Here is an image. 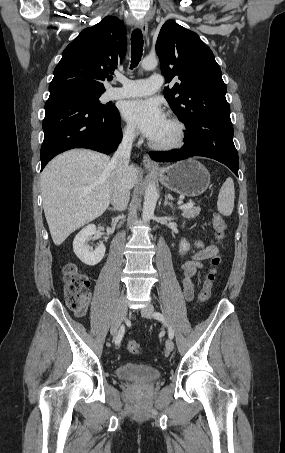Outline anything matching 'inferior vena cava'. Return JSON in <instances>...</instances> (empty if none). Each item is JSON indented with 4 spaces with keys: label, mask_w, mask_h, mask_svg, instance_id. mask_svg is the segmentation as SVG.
Masks as SVG:
<instances>
[{
    "label": "inferior vena cava",
    "mask_w": 285,
    "mask_h": 453,
    "mask_svg": "<svg viewBox=\"0 0 285 453\" xmlns=\"http://www.w3.org/2000/svg\"><path fill=\"white\" fill-rule=\"evenodd\" d=\"M134 138V129H127L110 161V166L113 169L110 201L115 210L118 211L125 210L130 199L131 184L128 178V171Z\"/></svg>",
    "instance_id": "1"
}]
</instances>
